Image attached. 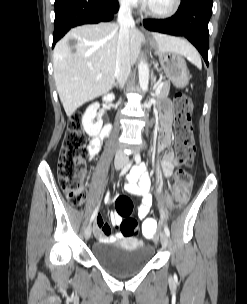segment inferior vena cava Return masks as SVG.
Returning <instances> with one entry per match:
<instances>
[{
    "mask_svg": "<svg viewBox=\"0 0 247 304\" xmlns=\"http://www.w3.org/2000/svg\"><path fill=\"white\" fill-rule=\"evenodd\" d=\"M119 35L117 42L115 78L118 85L122 88L130 74L131 58L129 29L134 26L131 7L129 2H123L118 13ZM129 162V157L118 150L115 155V166H125Z\"/></svg>",
    "mask_w": 247,
    "mask_h": 304,
    "instance_id": "1",
    "label": "inferior vena cava"
}]
</instances>
